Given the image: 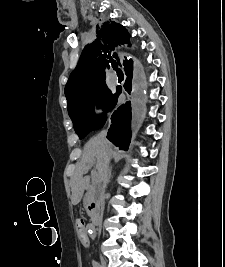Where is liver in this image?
Masks as SVG:
<instances>
[{
	"label": "liver",
	"mask_w": 225,
	"mask_h": 267,
	"mask_svg": "<svg viewBox=\"0 0 225 267\" xmlns=\"http://www.w3.org/2000/svg\"><path fill=\"white\" fill-rule=\"evenodd\" d=\"M111 153L112 148L109 142L102 144L98 142L96 138H92L86 143L81 160L76 165L72 179V203L74 205L81 201L89 180L88 177L83 178V175L95 164L97 169L95 179L97 180L106 165L107 158H110Z\"/></svg>",
	"instance_id": "1"
}]
</instances>
